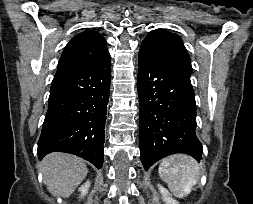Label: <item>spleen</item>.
<instances>
[{"instance_id": "obj_1", "label": "spleen", "mask_w": 253, "mask_h": 204, "mask_svg": "<svg viewBox=\"0 0 253 204\" xmlns=\"http://www.w3.org/2000/svg\"><path fill=\"white\" fill-rule=\"evenodd\" d=\"M158 173L171 191L179 196L190 194L201 176L197 161L185 154H176L163 159Z\"/></svg>"}]
</instances>
